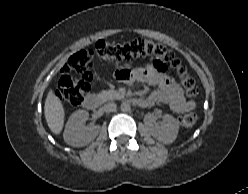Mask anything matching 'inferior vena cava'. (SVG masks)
<instances>
[{"label":"inferior vena cava","instance_id":"obj_1","mask_svg":"<svg viewBox=\"0 0 248 194\" xmlns=\"http://www.w3.org/2000/svg\"><path fill=\"white\" fill-rule=\"evenodd\" d=\"M117 108L116 104L115 103H107L104 105L103 109L106 111V112H113L115 111Z\"/></svg>","mask_w":248,"mask_h":194}]
</instances>
